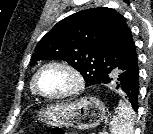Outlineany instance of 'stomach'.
I'll return each mask as SVG.
<instances>
[{
	"label": "stomach",
	"instance_id": "obj_1",
	"mask_svg": "<svg viewBox=\"0 0 153 134\" xmlns=\"http://www.w3.org/2000/svg\"><path fill=\"white\" fill-rule=\"evenodd\" d=\"M104 104L93 97H86L70 104H54L41 112V121L52 127H73L89 130L97 127L105 118Z\"/></svg>",
	"mask_w": 153,
	"mask_h": 134
}]
</instances>
